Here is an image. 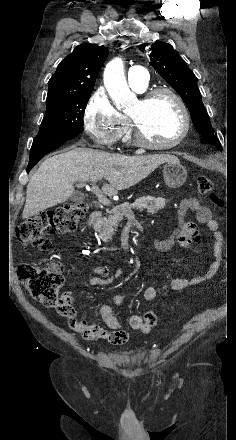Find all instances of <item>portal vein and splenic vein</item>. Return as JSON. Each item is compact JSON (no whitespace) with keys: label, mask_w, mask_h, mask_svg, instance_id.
I'll list each match as a JSON object with an SVG mask.
<instances>
[{"label":"portal vein and splenic vein","mask_w":236,"mask_h":440,"mask_svg":"<svg viewBox=\"0 0 236 440\" xmlns=\"http://www.w3.org/2000/svg\"><path fill=\"white\" fill-rule=\"evenodd\" d=\"M80 186H85V184L81 183ZM91 191L97 196L101 204L106 206H109L111 204L109 199L100 191V189L95 184L92 185Z\"/></svg>","instance_id":"18ae733b"}]
</instances>
